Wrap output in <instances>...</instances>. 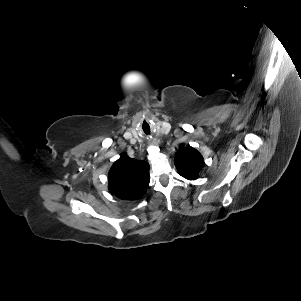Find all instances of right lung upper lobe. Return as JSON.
I'll return each instance as SVG.
<instances>
[{"label": "right lung upper lobe", "mask_w": 301, "mask_h": 301, "mask_svg": "<svg viewBox=\"0 0 301 301\" xmlns=\"http://www.w3.org/2000/svg\"><path fill=\"white\" fill-rule=\"evenodd\" d=\"M108 181L111 194L122 200H138L149 186V164L121 155L111 167Z\"/></svg>", "instance_id": "obj_1"}]
</instances>
